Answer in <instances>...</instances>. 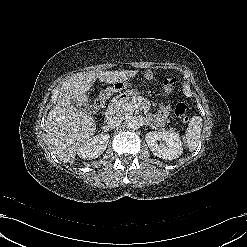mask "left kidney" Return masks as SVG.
Returning a JSON list of instances; mask_svg holds the SVG:
<instances>
[{"mask_svg":"<svg viewBox=\"0 0 247 247\" xmlns=\"http://www.w3.org/2000/svg\"><path fill=\"white\" fill-rule=\"evenodd\" d=\"M145 140L152 153L162 159L173 160L183 152L180 136L172 130L149 132Z\"/></svg>","mask_w":247,"mask_h":247,"instance_id":"left-kidney-1","label":"left kidney"}]
</instances>
